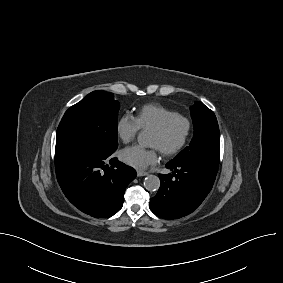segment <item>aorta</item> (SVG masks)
Returning a JSON list of instances; mask_svg holds the SVG:
<instances>
[{"label":"aorta","mask_w":283,"mask_h":283,"mask_svg":"<svg viewBox=\"0 0 283 283\" xmlns=\"http://www.w3.org/2000/svg\"><path fill=\"white\" fill-rule=\"evenodd\" d=\"M138 143L145 146L147 143V137L144 134H139L137 137ZM144 187L148 191H156L160 187V179L156 175H148L144 180Z\"/></svg>","instance_id":"762f6f07"}]
</instances>
